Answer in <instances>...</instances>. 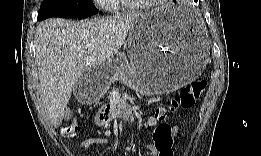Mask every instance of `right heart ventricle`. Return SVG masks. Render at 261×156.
<instances>
[{
    "label": "right heart ventricle",
    "instance_id": "e07e8e85",
    "mask_svg": "<svg viewBox=\"0 0 261 156\" xmlns=\"http://www.w3.org/2000/svg\"><path fill=\"white\" fill-rule=\"evenodd\" d=\"M114 4H115V6H119V5H120V2L114 1Z\"/></svg>",
    "mask_w": 261,
    "mask_h": 156
}]
</instances>
